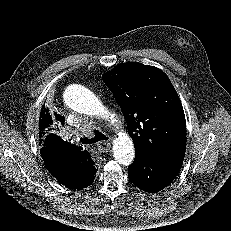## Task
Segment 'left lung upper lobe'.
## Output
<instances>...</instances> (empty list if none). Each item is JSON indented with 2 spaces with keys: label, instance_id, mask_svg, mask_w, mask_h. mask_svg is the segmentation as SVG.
I'll return each instance as SVG.
<instances>
[{
  "label": "left lung upper lobe",
  "instance_id": "obj_1",
  "mask_svg": "<svg viewBox=\"0 0 231 231\" xmlns=\"http://www.w3.org/2000/svg\"><path fill=\"white\" fill-rule=\"evenodd\" d=\"M134 141L135 151L163 160H183L186 121L181 101L167 75L138 62L122 63L103 74Z\"/></svg>",
  "mask_w": 231,
  "mask_h": 231
}]
</instances>
